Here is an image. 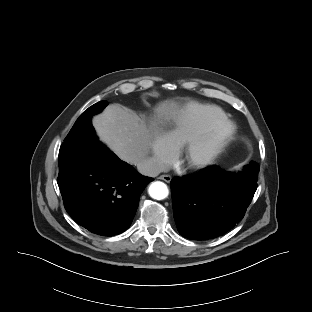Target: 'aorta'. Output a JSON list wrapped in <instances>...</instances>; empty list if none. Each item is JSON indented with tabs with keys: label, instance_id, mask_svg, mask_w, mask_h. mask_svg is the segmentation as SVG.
<instances>
[{
	"label": "aorta",
	"instance_id": "aorta-1",
	"mask_svg": "<svg viewBox=\"0 0 312 312\" xmlns=\"http://www.w3.org/2000/svg\"><path fill=\"white\" fill-rule=\"evenodd\" d=\"M148 193L153 199L162 200L168 196L169 190L165 183L156 181L149 186Z\"/></svg>",
	"mask_w": 312,
	"mask_h": 312
}]
</instances>
